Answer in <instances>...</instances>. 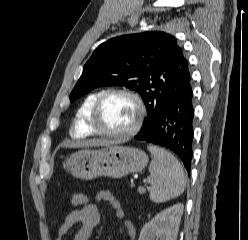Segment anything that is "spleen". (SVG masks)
I'll use <instances>...</instances> for the list:
<instances>
[{"label": "spleen", "mask_w": 248, "mask_h": 240, "mask_svg": "<svg viewBox=\"0 0 248 240\" xmlns=\"http://www.w3.org/2000/svg\"><path fill=\"white\" fill-rule=\"evenodd\" d=\"M153 155L149 166L150 199L155 203L166 202L180 196L186 187V176L176 157L167 150L148 145Z\"/></svg>", "instance_id": "3e777b00"}]
</instances>
